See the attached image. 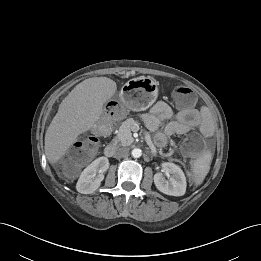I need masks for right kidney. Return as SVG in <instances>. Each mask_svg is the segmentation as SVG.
Returning <instances> with one entry per match:
<instances>
[{
  "instance_id": "1",
  "label": "right kidney",
  "mask_w": 261,
  "mask_h": 261,
  "mask_svg": "<svg viewBox=\"0 0 261 261\" xmlns=\"http://www.w3.org/2000/svg\"><path fill=\"white\" fill-rule=\"evenodd\" d=\"M109 168V160L107 157H99L88 165L81 173L76 189L79 193L90 194L100 187L104 179V173Z\"/></svg>"
}]
</instances>
